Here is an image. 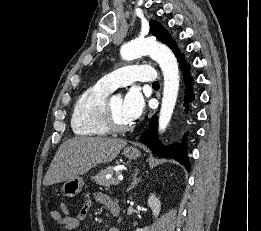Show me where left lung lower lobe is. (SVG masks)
<instances>
[{
    "instance_id": "0a47b994",
    "label": "left lung lower lobe",
    "mask_w": 261,
    "mask_h": 231,
    "mask_svg": "<svg viewBox=\"0 0 261 231\" xmlns=\"http://www.w3.org/2000/svg\"><path fill=\"white\" fill-rule=\"evenodd\" d=\"M178 62L181 65L183 75H184V82H185V98H184V106L186 107V111H189V103L194 99V94L192 92V85L193 79L189 74L190 65L185 61L184 56L178 59ZM157 128L158 122L157 118L154 115L149 123V128L146 132H144L141 137L140 141L148 146L154 154L159 157H167L172 158L181 163L186 167L188 171H190V164L187 156V135L188 133L184 134V138L182 139V143L180 144H173L168 147H164L157 137Z\"/></svg>"
}]
</instances>
